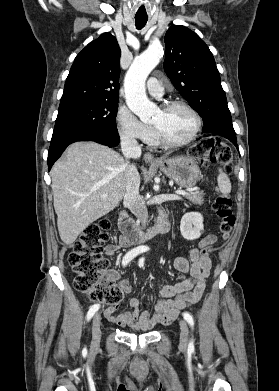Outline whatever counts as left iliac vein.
Returning a JSON list of instances; mask_svg holds the SVG:
<instances>
[{"label":"left iliac vein","mask_w":279,"mask_h":391,"mask_svg":"<svg viewBox=\"0 0 279 391\" xmlns=\"http://www.w3.org/2000/svg\"><path fill=\"white\" fill-rule=\"evenodd\" d=\"M179 324H180V346L186 349L189 340V328L184 320H180Z\"/></svg>","instance_id":"4c4485c4"}]
</instances>
